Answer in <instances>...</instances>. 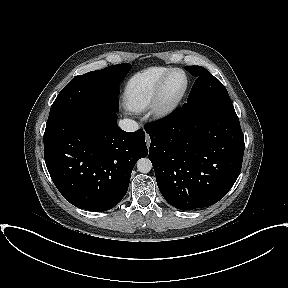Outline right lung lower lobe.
Listing matches in <instances>:
<instances>
[{
	"label": "right lung lower lobe",
	"mask_w": 288,
	"mask_h": 288,
	"mask_svg": "<svg viewBox=\"0 0 288 288\" xmlns=\"http://www.w3.org/2000/svg\"><path fill=\"white\" fill-rule=\"evenodd\" d=\"M145 133L125 132L116 113L82 110L46 125L44 156L63 197L76 207L106 211L126 194L136 162L147 156Z\"/></svg>",
	"instance_id": "obj_1"
}]
</instances>
